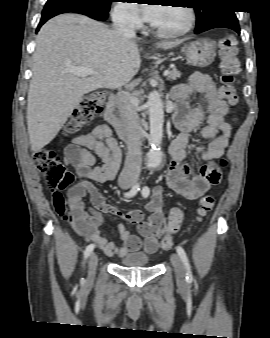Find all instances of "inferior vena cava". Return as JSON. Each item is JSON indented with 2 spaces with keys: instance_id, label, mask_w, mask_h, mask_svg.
Wrapping results in <instances>:
<instances>
[{
  "instance_id": "602c4592",
  "label": "inferior vena cava",
  "mask_w": 270,
  "mask_h": 338,
  "mask_svg": "<svg viewBox=\"0 0 270 338\" xmlns=\"http://www.w3.org/2000/svg\"><path fill=\"white\" fill-rule=\"evenodd\" d=\"M116 34L134 38V26L124 14H117L113 23ZM118 110L127 143V159L119 176L120 181L136 180L140 174L139 152L142 146L141 126L138 113L132 103V96L127 91L117 93Z\"/></svg>"
}]
</instances>
